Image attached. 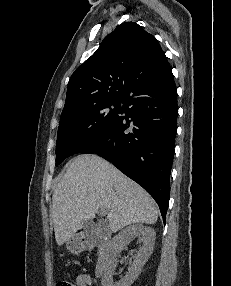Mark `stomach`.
<instances>
[{"instance_id": "1", "label": "stomach", "mask_w": 231, "mask_h": 286, "mask_svg": "<svg viewBox=\"0 0 231 286\" xmlns=\"http://www.w3.org/2000/svg\"><path fill=\"white\" fill-rule=\"evenodd\" d=\"M67 249L72 252L76 253L79 252L82 248V245L77 237H72L66 242Z\"/></svg>"}]
</instances>
